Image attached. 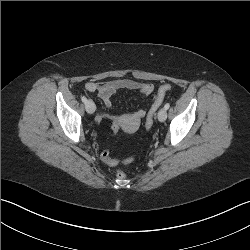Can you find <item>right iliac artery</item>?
Returning <instances> with one entry per match:
<instances>
[{
  "mask_svg": "<svg viewBox=\"0 0 250 250\" xmlns=\"http://www.w3.org/2000/svg\"><path fill=\"white\" fill-rule=\"evenodd\" d=\"M82 102L86 103L87 102V98L85 96L81 97Z\"/></svg>",
  "mask_w": 250,
  "mask_h": 250,
  "instance_id": "1",
  "label": "right iliac artery"
}]
</instances>
